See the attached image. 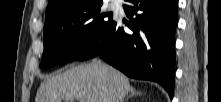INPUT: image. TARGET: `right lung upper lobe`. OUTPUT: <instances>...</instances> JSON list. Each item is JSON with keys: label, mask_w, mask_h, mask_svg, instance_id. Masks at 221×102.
I'll list each match as a JSON object with an SVG mask.
<instances>
[{"label": "right lung upper lobe", "mask_w": 221, "mask_h": 102, "mask_svg": "<svg viewBox=\"0 0 221 102\" xmlns=\"http://www.w3.org/2000/svg\"><path fill=\"white\" fill-rule=\"evenodd\" d=\"M98 0H49L45 21L53 17L64 8L71 7L76 3H89Z\"/></svg>", "instance_id": "obj_1"}]
</instances>
